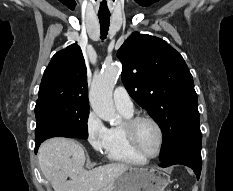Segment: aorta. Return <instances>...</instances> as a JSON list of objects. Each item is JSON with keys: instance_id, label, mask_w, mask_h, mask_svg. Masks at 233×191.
Returning a JSON list of instances; mask_svg holds the SVG:
<instances>
[{"instance_id": "1", "label": "aorta", "mask_w": 233, "mask_h": 191, "mask_svg": "<svg viewBox=\"0 0 233 191\" xmlns=\"http://www.w3.org/2000/svg\"><path fill=\"white\" fill-rule=\"evenodd\" d=\"M121 71V65L114 63L108 65L93 79L89 100L94 113L101 119L116 125L120 116L116 113L112 92Z\"/></svg>"}]
</instances>
